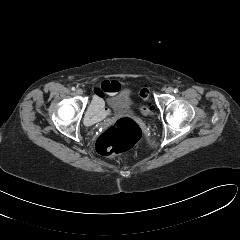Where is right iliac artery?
Listing matches in <instances>:
<instances>
[{
	"label": "right iliac artery",
	"instance_id": "82829eb1",
	"mask_svg": "<svg viewBox=\"0 0 240 240\" xmlns=\"http://www.w3.org/2000/svg\"><path fill=\"white\" fill-rule=\"evenodd\" d=\"M72 91H75V87H72Z\"/></svg>",
	"mask_w": 240,
	"mask_h": 240
}]
</instances>
